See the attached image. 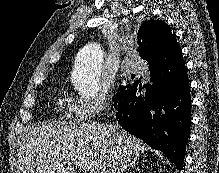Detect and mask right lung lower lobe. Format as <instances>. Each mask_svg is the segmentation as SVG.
Instances as JSON below:
<instances>
[{
	"mask_svg": "<svg viewBox=\"0 0 219 173\" xmlns=\"http://www.w3.org/2000/svg\"><path fill=\"white\" fill-rule=\"evenodd\" d=\"M150 81L127 85L114 102L118 124L162 151L177 167L183 168L191 123L189 80L183 58L175 62L146 60Z\"/></svg>",
	"mask_w": 219,
	"mask_h": 173,
	"instance_id": "right-lung-lower-lobe-1",
	"label": "right lung lower lobe"
}]
</instances>
